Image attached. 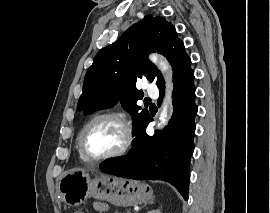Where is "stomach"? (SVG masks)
I'll use <instances>...</instances> for the list:
<instances>
[{"instance_id":"obj_1","label":"stomach","mask_w":270,"mask_h":213,"mask_svg":"<svg viewBox=\"0 0 270 213\" xmlns=\"http://www.w3.org/2000/svg\"><path fill=\"white\" fill-rule=\"evenodd\" d=\"M58 192L69 207L79 206L90 197L123 207L147 203L153 198L148 184L81 169L66 171L58 182Z\"/></svg>"}]
</instances>
